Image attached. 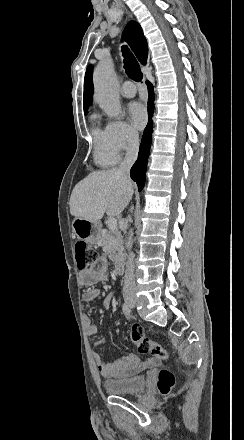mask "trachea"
Listing matches in <instances>:
<instances>
[{
  "label": "trachea",
  "mask_w": 244,
  "mask_h": 440,
  "mask_svg": "<svg viewBox=\"0 0 244 440\" xmlns=\"http://www.w3.org/2000/svg\"><path fill=\"white\" fill-rule=\"evenodd\" d=\"M122 54L124 57V68L127 75L135 82H141L143 79V74L139 64L134 55L125 45L122 47Z\"/></svg>",
  "instance_id": "1"
}]
</instances>
